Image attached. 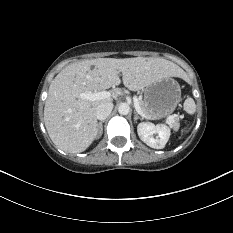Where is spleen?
Listing matches in <instances>:
<instances>
[{
  "mask_svg": "<svg viewBox=\"0 0 233 233\" xmlns=\"http://www.w3.org/2000/svg\"><path fill=\"white\" fill-rule=\"evenodd\" d=\"M184 109L185 111L188 113V114H194L195 111H196V104L194 102V100L192 98H187L185 101H184ZM187 131H183V133H185Z\"/></svg>",
  "mask_w": 233,
  "mask_h": 233,
  "instance_id": "obj_1",
  "label": "spleen"
}]
</instances>
